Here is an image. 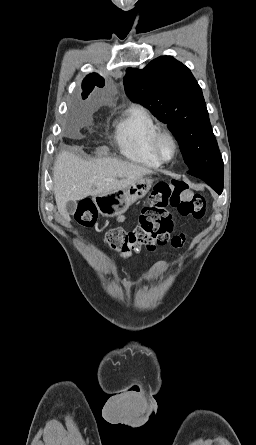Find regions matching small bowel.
<instances>
[{
  "label": "small bowel",
  "instance_id": "obj_1",
  "mask_svg": "<svg viewBox=\"0 0 256 445\" xmlns=\"http://www.w3.org/2000/svg\"><path fill=\"white\" fill-rule=\"evenodd\" d=\"M185 237L183 234L174 235L170 241L171 247L174 249H179L184 243ZM167 265L165 261H158L152 269L153 274H157L158 271Z\"/></svg>",
  "mask_w": 256,
  "mask_h": 445
}]
</instances>
